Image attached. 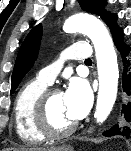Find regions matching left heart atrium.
<instances>
[{
    "label": "left heart atrium",
    "instance_id": "39dd6f15",
    "mask_svg": "<svg viewBox=\"0 0 131 151\" xmlns=\"http://www.w3.org/2000/svg\"><path fill=\"white\" fill-rule=\"evenodd\" d=\"M69 117L77 121L83 118L91 105V91L82 80L73 81L63 93Z\"/></svg>",
    "mask_w": 131,
    "mask_h": 151
}]
</instances>
